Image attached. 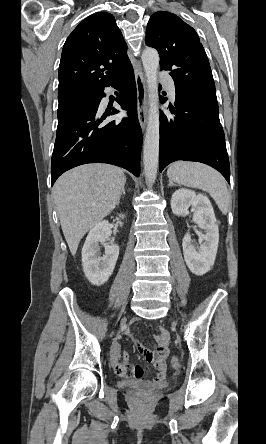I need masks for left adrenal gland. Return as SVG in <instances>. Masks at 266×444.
Segmentation results:
<instances>
[{
    "instance_id": "a2214340",
    "label": "left adrenal gland",
    "mask_w": 266,
    "mask_h": 444,
    "mask_svg": "<svg viewBox=\"0 0 266 444\" xmlns=\"http://www.w3.org/2000/svg\"><path fill=\"white\" fill-rule=\"evenodd\" d=\"M170 186H176V184H174L173 181L169 180L168 187H170Z\"/></svg>"
}]
</instances>
